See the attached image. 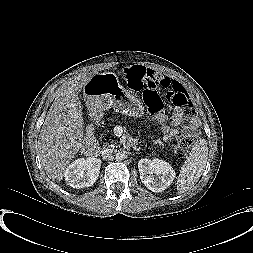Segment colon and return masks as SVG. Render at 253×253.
Instances as JSON below:
<instances>
[{
  "label": "colon",
  "mask_w": 253,
  "mask_h": 253,
  "mask_svg": "<svg viewBox=\"0 0 253 253\" xmlns=\"http://www.w3.org/2000/svg\"><path fill=\"white\" fill-rule=\"evenodd\" d=\"M120 75L127 87L135 92L144 89V99L147 112L152 116H162L167 112L164 98L174 107L191 110L193 104L188 93L182 86H173L162 80L155 72L143 66H130L123 68ZM196 142V136L191 133L181 135L175 144L174 153L183 158Z\"/></svg>",
  "instance_id": "5ec220e1"
}]
</instances>
